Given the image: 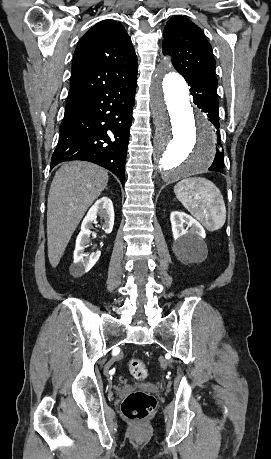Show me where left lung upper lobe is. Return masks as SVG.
Listing matches in <instances>:
<instances>
[{
	"label": "left lung upper lobe",
	"mask_w": 271,
	"mask_h": 459,
	"mask_svg": "<svg viewBox=\"0 0 271 459\" xmlns=\"http://www.w3.org/2000/svg\"><path fill=\"white\" fill-rule=\"evenodd\" d=\"M162 50L164 54L172 53V64L185 79L212 77L217 82L211 45L190 20L177 16L167 22Z\"/></svg>",
	"instance_id": "obj_1"
}]
</instances>
